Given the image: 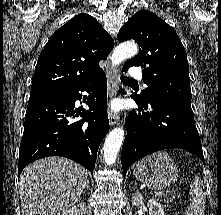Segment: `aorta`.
<instances>
[{"label": "aorta", "mask_w": 221, "mask_h": 215, "mask_svg": "<svg viewBox=\"0 0 221 215\" xmlns=\"http://www.w3.org/2000/svg\"><path fill=\"white\" fill-rule=\"evenodd\" d=\"M138 52V47L134 42H125L119 44L111 55L112 66L119 65L124 60L134 56ZM124 140L123 128H114L107 135L103 146V157L107 165L115 163L117 154Z\"/></svg>", "instance_id": "1"}]
</instances>
